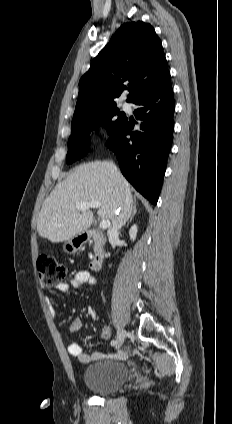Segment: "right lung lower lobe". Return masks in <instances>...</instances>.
<instances>
[{
    "label": "right lung lower lobe",
    "mask_w": 232,
    "mask_h": 424,
    "mask_svg": "<svg viewBox=\"0 0 232 424\" xmlns=\"http://www.w3.org/2000/svg\"><path fill=\"white\" fill-rule=\"evenodd\" d=\"M133 103L140 106L136 110V118L143 121L140 130L132 132L127 121L106 145L115 152L126 179L156 205L173 135L175 103L169 71Z\"/></svg>",
    "instance_id": "98d812e1"
}]
</instances>
